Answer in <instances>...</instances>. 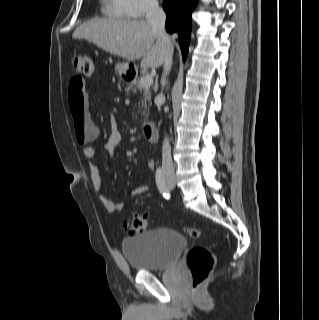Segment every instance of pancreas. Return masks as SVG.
I'll return each mask as SVG.
<instances>
[{
  "instance_id": "1",
  "label": "pancreas",
  "mask_w": 319,
  "mask_h": 320,
  "mask_svg": "<svg viewBox=\"0 0 319 320\" xmlns=\"http://www.w3.org/2000/svg\"><path fill=\"white\" fill-rule=\"evenodd\" d=\"M127 94L129 95L130 92L136 94L139 91L142 94L141 101L139 102V107L143 109V116L146 118L149 107L151 106V91L149 87L142 86L139 79H134L132 82L129 83L127 89ZM141 105V106H140Z\"/></svg>"
}]
</instances>
